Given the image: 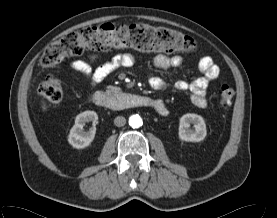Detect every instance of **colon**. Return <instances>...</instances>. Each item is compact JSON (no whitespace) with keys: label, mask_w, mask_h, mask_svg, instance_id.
<instances>
[{"label":"colon","mask_w":277,"mask_h":218,"mask_svg":"<svg viewBox=\"0 0 277 218\" xmlns=\"http://www.w3.org/2000/svg\"><path fill=\"white\" fill-rule=\"evenodd\" d=\"M129 49L137 52H191L195 42L177 30L167 27H153L140 24H103L87 27L66 34L43 51L40 63L44 67L54 66L65 58L80 55L86 50L108 51ZM39 94L51 104L61 101L63 89L60 82L47 78L39 86ZM235 90L228 84L219 88L221 106H229Z\"/></svg>","instance_id":"obj_1"}]
</instances>
